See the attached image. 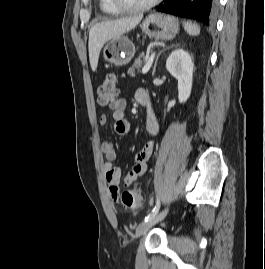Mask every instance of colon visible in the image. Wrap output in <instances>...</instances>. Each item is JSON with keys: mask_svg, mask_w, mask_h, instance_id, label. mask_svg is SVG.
<instances>
[{"mask_svg": "<svg viewBox=\"0 0 265 269\" xmlns=\"http://www.w3.org/2000/svg\"><path fill=\"white\" fill-rule=\"evenodd\" d=\"M97 96L99 104L103 107L110 106L117 101L118 90L114 75H109L101 81ZM116 198L122 206L134 208L141 204L142 194L137 190H127L120 193L117 191Z\"/></svg>", "mask_w": 265, "mask_h": 269, "instance_id": "1", "label": "colon"}]
</instances>
